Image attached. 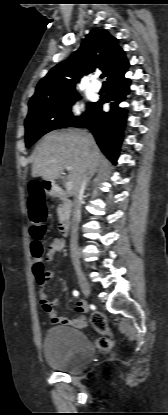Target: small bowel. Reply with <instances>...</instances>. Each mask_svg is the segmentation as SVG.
<instances>
[{"label": "small bowel", "instance_id": "small-bowel-1", "mask_svg": "<svg viewBox=\"0 0 168 415\" xmlns=\"http://www.w3.org/2000/svg\"><path fill=\"white\" fill-rule=\"evenodd\" d=\"M64 249V241L61 238H55L50 243L47 251L46 258L48 260H51L55 254L61 252ZM53 274H48V279L52 278ZM40 300L42 303V307L44 311L49 315L51 322L55 325H63V326H72L75 328H83L86 325V318L85 316H80L77 319L70 320L66 317L60 316L58 312L54 309V306L58 304V300H50L47 297V294L45 292V289L42 288L40 290ZM76 311L80 313H85L86 306L84 302L80 301L76 305Z\"/></svg>", "mask_w": 168, "mask_h": 415}]
</instances>
